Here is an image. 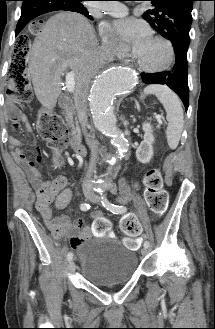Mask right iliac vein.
<instances>
[{"instance_id":"obj_1","label":"right iliac vein","mask_w":215,"mask_h":329,"mask_svg":"<svg viewBox=\"0 0 215 329\" xmlns=\"http://www.w3.org/2000/svg\"><path fill=\"white\" fill-rule=\"evenodd\" d=\"M84 196L87 198V199H90L92 194L89 190H84L83 192ZM68 269L69 271L73 272L75 270V263L73 260H70L69 263H68Z\"/></svg>"}]
</instances>
